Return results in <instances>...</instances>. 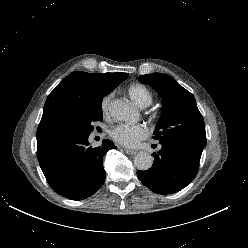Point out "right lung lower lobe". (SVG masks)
<instances>
[{
    "instance_id": "obj_1",
    "label": "right lung lower lobe",
    "mask_w": 248,
    "mask_h": 248,
    "mask_svg": "<svg viewBox=\"0 0 248 248\" xmlns=\"http://www.w3.org/2000/svg\"><path fill=\"white\" fill-rule=\"evenodd\" d=\"M89 135L60 127L37 137V158L47 182L71 200H83L101 188L106 177L103 155L116 148L110 140L92 148Z\"/></svg>"
}]
</instances>
